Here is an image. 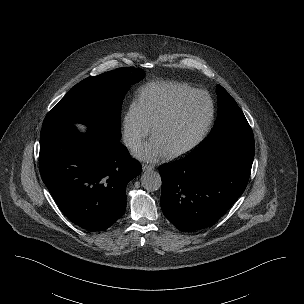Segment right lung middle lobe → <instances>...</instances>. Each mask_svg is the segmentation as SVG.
Wrapping results in <instances>:
<instances>
[{
	"mask_svg": "<svg viewBox=\"0 0 304 304\" xmlns=\"http://www.w3.org/2000/svg\"><path fill=\"white\" fill-rule=\"evenodd\" d=\"M144 75L140 69L119 68L82 80L46 115L41 131L80 122L119 141L123 98Z\"/></svg>",
	"mask_w": 304,
	"mask_h": 304,
	"instance_id": "1",
	"label": "right lung middle lobe"
}]
</instances>
